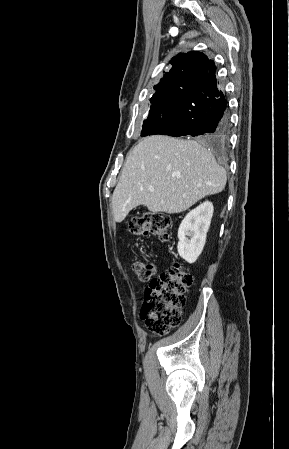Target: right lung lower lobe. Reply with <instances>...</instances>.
I'll return each mask as SVG.
<instances>
[{
    "label": "right lung lower lobe",
    "mask_w": 289,
    "mask_h": 449,
    "mask_svg": "<svg viewBox=\"0 0 289 449\" xmlns=\"http://www.w3.org/2000/svg\"><path fill=\"white\" fill-rule=\"evenodd\" d=\"M175 118L154 134L224 139L228 132L227 100L216 76L207 80L177 81L170 89Z\"/></svg>",
    "instance_id": "98d812e1"
}]
</instances>
